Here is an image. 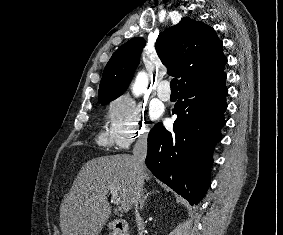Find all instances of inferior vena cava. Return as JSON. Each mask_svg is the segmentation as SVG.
I'll return each instance as SVG.
<instances>
[{
	"mask_svg": "<svg viewBox=\"0 0 283 235\" xmlns=\"http://www.w3.org/2000/svg\"><path fill=\"white\" fill-rule=\"evenodd\" d=\"M147 155V136L142 135L136 142L133 148V160L135 164L136 171V188L133 198V203L135 205L136 210V222L138 228V235H145V224L143 219L140 217L138 213V204L141 202V196L143 191L144 184V174L146 171L145 159Z\"/></svg>",
	"mask_w": 283,
	"mask_h": 235,
	"instance_id": "1",
	"label": "inferior vena cava"
}]
</instances>
